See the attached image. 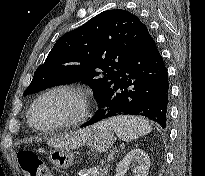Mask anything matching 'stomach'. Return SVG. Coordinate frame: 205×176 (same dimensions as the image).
Segmentation results:
<instances>
[{"instance_id": "obj_1", "label": "stomach", "mask_w": 205, "mask_h": 176, "mask_svg": "<svg viewBox=\"0 0 205 176\" xmlns=\"http://www.w3.org/2000/svg\"><path fill=\"white\" fill-rule=\"evenodd\" d=\"M91 128L90 137L87 146L96 153L108 151L114 144L115 137L111 129L96 124ZM51 163L60 169H67L75 162V156L72 149L54 148L49 155Z\"/></svg>"}]
</instances>
